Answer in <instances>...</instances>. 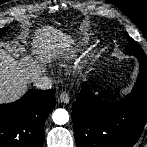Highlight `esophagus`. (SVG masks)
Segmentation results:
<instances>
[{"label":"esophagus","mask_w":147,"mask_h":147,"mask_svg":"<svg viewBox=\"0 0 147 147\" xmlns=\"http://www.w3.org/2000/svg\"><path fill=\"white\" fill-rule=\"evenodd\" d=\"M59 100L64 104L69 103L70 101L69 94L66 91H62L59 95Z\"/></svg>","instance_id":"34e87169"}]
</instances>
